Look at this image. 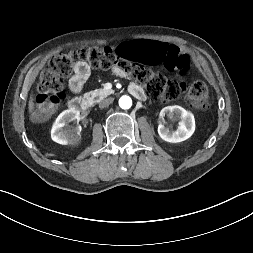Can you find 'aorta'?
Wrapping results in <instances>:
<instances>
[{
	"label": "aorta",
	"mask_w": 253,
	"mask_h": 253,
	"mask_svg": "<svg viewBox=\"0 0 253 253\" xmlns=\"http://www.w3.org/2000/svg\"><path fill=\"white\" fill-rule=\"evenodd\" d=\"M119 106L122 109H129L132 106V99L129 96H122L119 99Z\"/></svg>",
	"instance_id": "obj_1"
}]
</instances>
